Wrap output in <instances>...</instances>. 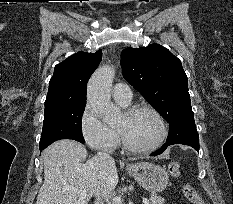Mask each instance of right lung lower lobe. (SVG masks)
Returning <instances> with one entry per match:
<instances>
[{
    "instance_id": "right-lung-lower-lobe-1",
    "label": "right lung lower lobe",
    "mask_w": 233,
    "mask_h": 204,
    "mask_svg": "<svg viewBox=\"0 0 233 204\" xmlns=\"http://www.w3.org/2000/svg\"><path fill=\"white\" fill-rule=\"evenodd\" d=\"M43 149H45V148H40L41 151H42Z\"/></svg>"
}]
</instances>
